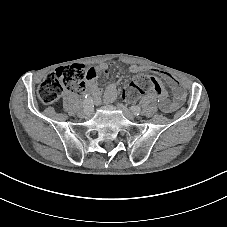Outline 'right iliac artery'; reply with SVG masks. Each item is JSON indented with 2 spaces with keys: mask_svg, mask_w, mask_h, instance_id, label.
<instances>
[{
  "mask_svg": "<svg viewBox=\"0 0 227 227\" xmlns=\"http://www.w3.org/2000/svg\"><path fill=\"white\" fill-rule=\"evenodd\" d=\"M93 107V101L90 95H86L83 101V108L85 111H89Z\"/></svg>",
  "mask_w": 227,
  "mask_h": 227,
  "instance_id": "82829eb1",
  "label": "right iliac artery"
}]
</instances>
